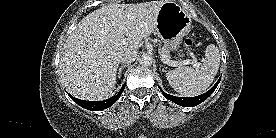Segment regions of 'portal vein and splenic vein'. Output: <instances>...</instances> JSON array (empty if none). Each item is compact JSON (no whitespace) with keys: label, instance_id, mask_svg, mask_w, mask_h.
Returning <instances> with one entry per match:
<instances>
[{"label":"portal vein and splenic vein","instance_id":"1","mask_svg":"<svg viewBox=\"0 0 276 138\" xmlns=\"http://www.w3.org/2000/svg\"><path fill=\"white\" fill-rule=\"evenodd\" d=\"M121 31L122 30H119V32H121ZM160 58H161V61L164 64L168 65V66H182V65L192 64L193 66L198 68L199 65H200V63L196 59H194V60L187 59V60H183V61H173V60L167 59L163 55H161Z\"/></svg>","mask_w":276,"mask_h":138}]
</instances>
